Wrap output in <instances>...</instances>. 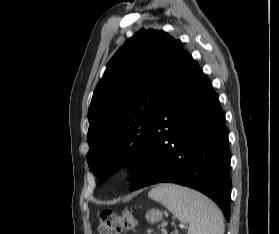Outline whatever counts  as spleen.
<instances>
[{
  "mask_svg": "<svg viewBox=\"0 0 279 234\" xmlns=\"http://www.w3.org/2000/svg\"><path fill=\"white\" fill-rule=\"evenodd\" d=\"M148 196L164 205L181 222L188 223V234H224L220 209L198 191L165 183L152 189Z\"/></svg>",
  "mask_w": 279,
  "mask_h": 234,
  "instance_id": "spleen-1",
  "label": "spleen"
}]
</instances>
